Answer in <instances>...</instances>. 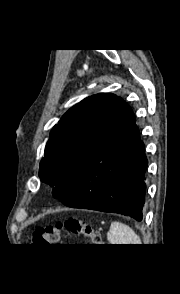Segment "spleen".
<instances>
[{"label": "spleen", "mask_w": 180, "mask_h": 294, "mask_svg": "<svg viewBox=\"0 0 180 294\" xmlns=\"http://www.w3.org/2000/svg\"><path fill=\"white\" fill-rule=\"evenodd\" d=\"M107 240L110 244H141L140 237L133 229L118 221L111 223L107 233Z\"/></svg>", "instance_id": "3e777b00"}]
</instances>
